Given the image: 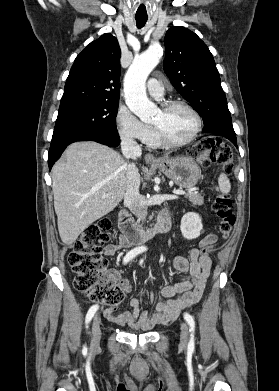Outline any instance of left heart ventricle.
I'll use <instances>...</instances> for the list:
<instances>
[{
  "label": "left heart ventricle",
  "mask_w": 279,
  "mask_h": 391,
  "mask_svg": "<svg viewBox=\"0 0 279 391\" xmlns=\"http://www.w3.org/2000/svg\"><path fill=\"white\" fill-rule=\"evenodd\" d=\"M151 123L161 127L167 138L176 142L188 138L196 125L194 116L184 107H174L167 112L160 109Z\"/></svg>",
  "instance_id": "left-heart-ventricle-1"
}]
</instances>
